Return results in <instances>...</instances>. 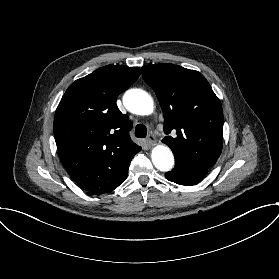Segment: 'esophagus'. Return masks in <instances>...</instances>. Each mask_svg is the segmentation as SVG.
<instances>
[{"label":"esophagus","instance_id":"34e87169","mask_svg":"<svg viewBox=\"0 0 279 279\" xmlns=\"http://www.w3.org/2000/svg\"><path fill=\"white\" fill-rule=\"evenodd\" d=\"M146 142L148 145H154L156 143V138L154 137V135L149 134L146 138Z\"/></svg>","mask_w":279,"mask_h":279}]
</instances>
